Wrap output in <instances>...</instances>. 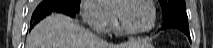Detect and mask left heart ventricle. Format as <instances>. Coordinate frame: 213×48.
<instances>
[{"instance_id": "1", "label": "left heart ventricle", "mask_w": 213, "mask_h": 48, "mask_svg": "<svg viewBox=\"0 0 213 48\" xmlns=\"http://www.w3.org/2000/svg\"><path fill=\"white\" fill-rule=\"evenodd\" d=\"M114 11L120 15L127 27L134 30H141L148 27L151 21L149 7L141 2L125 3L121 1L114 6Z\"/></svg>"}]
</instances>
